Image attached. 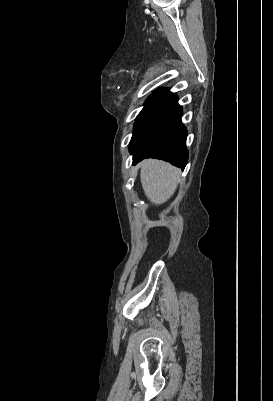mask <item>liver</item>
I'll use <instances>...</instances> for the list:
<instances>
[{
	"label": "liver",
	"mask_w": 273,
	"mask_h": 401,
	"mask_svg": "<svg viewBox=\"0 0 273 401\" xmlns=\"http://www.w3.org/2000/svg\"><path fill=\"white\" fill-rule=\"evenodd\" d=\"M179 168L163 160H143L141 162V184L145 194L154 205L166 203L174 194L180 180Z\"/></svg>",
	"instance_id": "liver-1"
}]
</instances>
